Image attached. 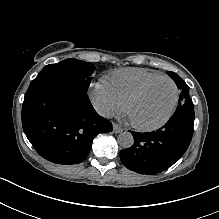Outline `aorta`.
<instances>
[{
	"mask_svg": "<svg viewBox=\"0 0 219 219\" xmlns=\"http://www.w3.org/2000/svg\"><path fill=\"white\" fill-rule=\"evenodd\" d=\"M118 144L123 148H130L134 144V138L129 132H122L117 138Z\"/></svg>",
	"mask_w": 219,
	"mask_h": 219,
	"instance_id": "1",
	"label": "aorta"
}]
</instances>
